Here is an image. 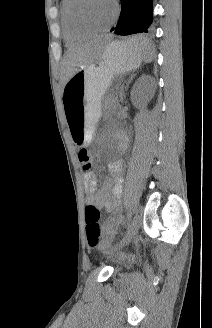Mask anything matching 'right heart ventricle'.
Returning <instances> with one entry per match:
<instances>
[{
    "mask_svg": "<svg viewBox=\"0 0 212 328\" xmlns=\"http://www.w3.org/2000/svg\"><path fill=\"white\" fill-rule=\"evenodd\" d=\"M70 4V0H62L61 3V27L64 36V40L68 45H73L78 42L83 41L84 39L90 37L92 33L86 32H78L75 31L68 19V6Z\"/></svg>",
    "mask_w": 212,
    "mask_h": 328,
    "instance_id": "1",
    "label": "right heart ventricle"
}]
</instances>
